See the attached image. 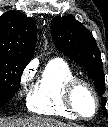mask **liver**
<instances>
[{"label": "liver", "instance_id": "1", "mask_svg": "<svg viewBox=\"0 0 108 127\" xmlns=\"http://www.w3.org/2000/svg\"><path fill=\"white\" fill-rule=\"evenodd\" d=\"M0 127H72L68 124L51 118L30 117L26 119L0 120ZM74 127H79L74 125Z\"/></svg>", "mask_w": 108, "mask_h": 127}]
</instances>
